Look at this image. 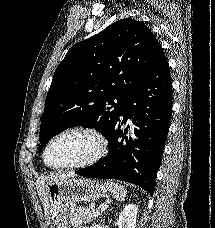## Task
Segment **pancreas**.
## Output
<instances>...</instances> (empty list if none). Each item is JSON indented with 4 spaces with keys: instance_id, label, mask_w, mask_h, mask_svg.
Returning <instances> with one entry per match:
<instances>
[{
    "instance_id": "1",
    "label": "pancreas",
    "mask_w": 215,
    "mask_h": 228,
    "mask_svg": "<svg viewBox=\"0 0 215 228\" xmlns=\"http://www.w3.org/2000/svg\"><path fill=\"white\" fill-rule=\"evenodd\" d=\"M102 216V210H86V208H77V206H72L69 212V222L72 228H82L84 224H90L94 220H98Z\"/></svg>"
}]
</instances>
